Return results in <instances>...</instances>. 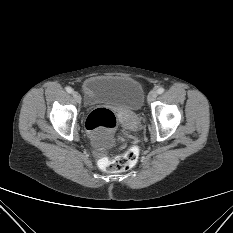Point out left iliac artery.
<instances>
[{"label":"left iliac artery","instance_id":"left-iliac-artery-1","mask_svg":"<svg viewBox=\"0 0 233 233\" xmlns=\"http://www.w3.org/2000/svg\"><path fill=\"white\" fill-rule=\"evenodd\" d=\"M158 94H162L164 92V88L163 87H160L158 90H157Z\"/></svg>","mask_w":233,"mask_h":233}]
</instances>
